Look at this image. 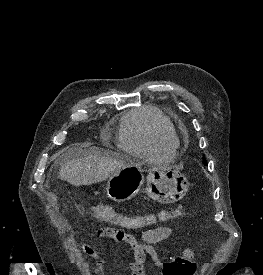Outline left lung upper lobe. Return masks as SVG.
Listing matches in <instances>:
<instances>
[{"mask_svg": "<svg viewBox=\"0 0 263 275\" xmlns=\"http://www.w3.org/2000/svg\"><path fill=\"white\" fill-rule=\"evenodd\" d=\"M203 163L204 165H207L205 158H203Z\"/></svg>", "mask_w": 263, "mask_h": 275, "instance_id": "1", "label": "left lung upper lobe"}]
</instances>
